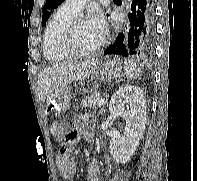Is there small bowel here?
Instances as JSON below:
<instances>
[{
  "mask_svg": "<svg viewBox=\"0 0 197 181\" xmlns=\"http://www.w3.org/2000/svg\"><path fill=\"white\" fill-rule=\"evenodd\" d=\"M91 118L87 115H79L75 117L74 122L65 133H61V145L56 163L62 176L66 179H72L76 175L77 167L72 159V147L76 144L81 135L87 139H93V133L89 130ZM62 146H66V151L62 150ZM87 181H101L100 170L97 161L93 160L87 169Z\"/></svg>",
  "mask_w": 197,
  "mask_h": 181,
  "instance_id": "c3829d8e",
  "label": "small bowel"
}]
</instances>
